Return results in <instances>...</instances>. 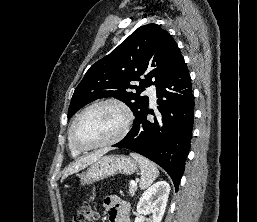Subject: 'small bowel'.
I'll return each instance as SVG.
<instances>
[{"label": "small bowel", "instance_id": "obj_1", "mask_svg": "<svg viewBox=\"0 0 257 222\" xmlns=\"http://www.w3.org/2000/svg\"><path fill=\"white\" fill-rule=\"evenodd\" d=\"M105 209L109 222H129V205L115 196L105 199Z\"/></svg>", "mask_w": 257, "mask_h": 222}]
</instances>
